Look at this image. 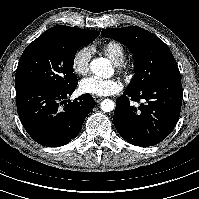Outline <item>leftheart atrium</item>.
Here are the masks:
<instances>
[{"label":"left heart atrium","mask_w":199,"mask_h":199,"mask_svg":"<svg viewBox=\"0 0 199 199\" xmlns=\"http://www.w3.org/2000/svg\"><path fill=\"white\" fill-rule=\"evenodd\" d=\"M122 83L117 78L100 79L88 77L79 84V90L92 96H109L119 92Z\"/></svg>","instance_id":"39dd6f15"}]
</instances>
